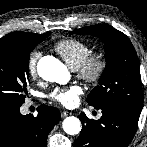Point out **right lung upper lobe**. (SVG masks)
Segmentation results:
<instances>
[{
	"label": "right lung upper lobe",
	"mask_w": 147,
	"mask_h": 147,
	"mask_svg": "<svg viewBox=\"0 0 147 147\" xmlns=\"http://www.w3.org/2000/svg\"><path fill=\"white\" fill-rule=\"evenodd\" d=\"M45 34V33H44ZM44 34L28 33V32H12L1 39H31L43 36Z\"/></svg>",
	"instance_id": "right-lung-upper-lobe-1"
}]
</instances>
